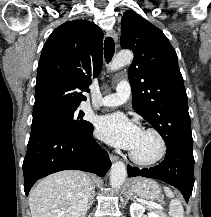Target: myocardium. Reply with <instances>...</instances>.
<instances>
[{"label":"myocardium","instance_id":"myocardium-1","mask_svg":"<svg viewBox=\"0 0 211 217\" xmlns=\"http://www.w3.org/2000/svg\"><path fill=\"white\" fill-rule=\"evenodd\" d=\"M142 131L144 132H149V133H152L156 136V138L158 139L159 143H160V151L158 153V155L152 159H149V160H144V159H140L138 158L137 156H135L133 154L132 151H130L129 153V157L130 159L138 164V165H141V166H153V165H156L158 164L159 162H161L166 153H167V143L165 141V138L163 137V135L160 133V131H158L157 129L153 128V127H147V128H144Z\"/></svg>","mask_w":211,"mask_h":217}]
</instances>
